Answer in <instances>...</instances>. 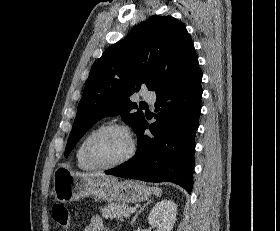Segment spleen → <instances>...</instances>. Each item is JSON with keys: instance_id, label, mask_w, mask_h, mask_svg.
Masks as SVG:
<instances>
[{"instance_id": "obj_1", "label": "spleen", "mask_w": 280, "mask_h": 231, "mask_svg": "<svg viewBox=\"0 0 280 231\" xmlns=\"http://www.w3.org/2000/svg\"><path fill=\"white\" fill-rule=\"evenodd\" d=\"M152 191L153 193H155V195H157V197H160V195H162V189H160V187H153Z\"/></svg>"}]
</instances>
